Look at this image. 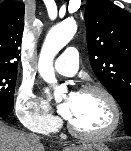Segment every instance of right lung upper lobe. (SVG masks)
<instances>
[{"label":"right lung upper lobe","instance_id":"cb5924a9","mask_svg":"<svg viewBox=\"0 0 131 151\" xmlns=\"http://www.w3.org/2000/svg\"><path fill=\"white\" fill-rule=\"evenodd\" d=\"M24 11L22 2L6 0L0 4V68H17Z\"/></svg>","mask_w":131,"mask_h":151}]
</instances>
